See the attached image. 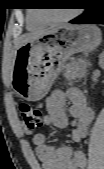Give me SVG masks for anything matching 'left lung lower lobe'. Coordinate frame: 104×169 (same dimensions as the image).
<instances>
[{
    "label": "left lung lower lobe",
    "mask_w": 104,
    "mask_h": 169,
    "mask_svg": "<svg viewBox=\"0 0 104 169\" xmlns=\"http://www.w3.org/2000/svg\"><path fill=\"white\" fill-rule=\"evenodd\" d=\"M86 11L78 18L70 21L72 24H104V8L99 0H90Z\"/></svg>",
    "instance_id": "left-lung-lower-lobe-1"
}]
</instances>
